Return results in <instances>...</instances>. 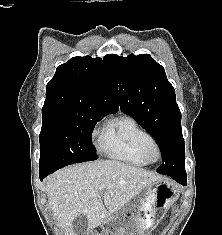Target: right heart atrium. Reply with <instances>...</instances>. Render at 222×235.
<instances>
[{"mask_svg":"<svg viewBox=\"0 0 222 235\" xmlns=\"http://www.w3.org/2000/svg\"><path fill=\"white\" fill-rule=\"evenodd\" d=\"M99 133V130L98 128L96 127L94 130H93V136H97Z\"/></svg>","mask_w":222,"mask_h":235,"instance_id":"d8ad5b80","label":"right heart atrium"}]
</instances>
